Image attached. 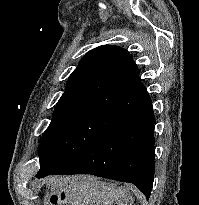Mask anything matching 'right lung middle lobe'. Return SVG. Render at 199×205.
Returning <instances> with one entry per match:
<instances>
[{"label":"right lung middle lobe","mask_w":199,"mask_h":205,"mask_svg":"<svg viewBox=\"0 0 199 205\" xmlns=\"http://www.w3.org/2000/svg\"><path fill=\"white\" fill-rule=\"evenodd\" d=\"M121 120L89 108L53 112L52 121L40 140V170L37 175H49L98 142Z\"/></svg>","instance_id":"1"}]
</instances>
